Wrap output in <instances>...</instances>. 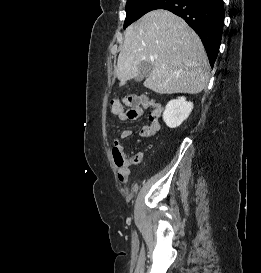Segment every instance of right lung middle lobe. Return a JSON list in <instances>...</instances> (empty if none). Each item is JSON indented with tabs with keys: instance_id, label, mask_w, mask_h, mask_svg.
Returning a JSON list of instances; mask_svg holds the SVG:
<instances>
[{
	"instance_id": "1",
	"label": "right lung middle lobe",
	"mask_w": 261,
	"mask_h": 273,
	"mask_svg": "<svg viewBox=\"0 0 261 273\" xmlns=\"http://www.w3.org/2000/svg\"><path fill=\"white\" fill-rule=\"evenodd\" d=\"M154 1L155 0H127L124 29L132 22L151 11L149 8Z\"/></svg>"
}]
</instances>
